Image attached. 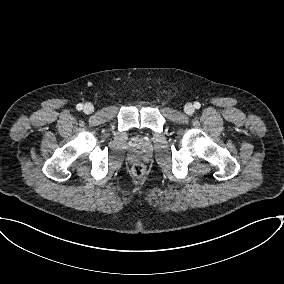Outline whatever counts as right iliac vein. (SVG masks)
I'll use <instances>...</instances> for the list:
<instances>
[{
	"label": "right iliac vein",
	"instance_id": "63e3f726",
	"mask_svg": "<svg viewBox=\"0 0 284 284\" xmlns=\"http://www.w3.org/2000/svg\"><path fill=\"white\" fill-rule=\"evenodd\" d=\"M83 111L86 114H91L94 111V106L91 103H86L84 105Z\"/></svg>",
	"mask_w": 284,
	"mask_h": 284
}]
</instances>
